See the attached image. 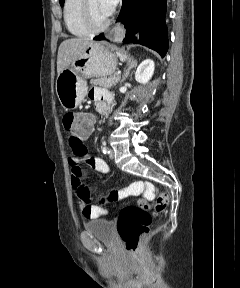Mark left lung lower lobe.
<instances>
[{"label": "left lung lower lobe", "instance_id": "left-lung-lower-lobe-1", "mask_svg": "<svg viewBox=\"0 0 240 288\" xmlns=\"http://www.w3.org/2000/svg\"><path fill=\"white\" fill-rule=\"evenodd\" d=\"M166 0H122L117 18L126 29L124 43H138L157 51L162 57L168 50V30L165 24ZM139 31L140 38L133 37ZM104 39L103 34L94 38Z\"/></svg>", "mask_w": 240, "mask_h": 288}]
</instances>
